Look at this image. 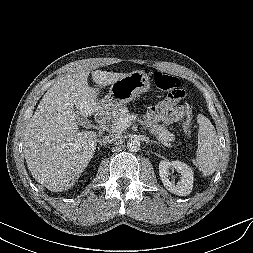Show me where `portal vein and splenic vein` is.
I'll list each match as a JSON object with an SVG mask.
<instances>
[{
  "instance_id": "portal-vein-and-splenic-vein-1",
  "label": "portal vein and splenic vein",
  "mask_w": 253,
  "mask_h": 253,
  "mask_svg": "<svg viewBox=\"0 0 253 253\" xmlns=\"http://www.w3.org/2000/svg\"><path fill=\"white\" fill-rule=\"evenodd\" d=\"M136 119V115H130L124 118H121L119 122L117 123L116 128L119 129L120 131H123L124 129H127L132 121Z\"/></svg>"
}]
</instances>
